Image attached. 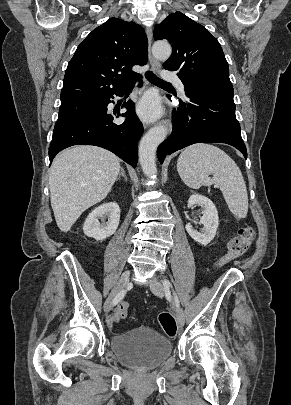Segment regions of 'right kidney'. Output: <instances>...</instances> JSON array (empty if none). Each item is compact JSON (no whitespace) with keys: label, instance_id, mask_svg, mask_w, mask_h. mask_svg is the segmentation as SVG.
Segmentation results:
<instances>
[{"label":"right kidney","instance_id":"1","mask_svg":"<svg viewBox=\"0 0 291 405\" xmlns=\"http://www.w3.org/2000/svg\"><path fill=\"white\" fill-rule=\"evenodd\" d=\"M108 217L106 224H100L99 218ZM120 208L117 203L109 202L96 207L86 218L83 231L88 237L104 240L113 235L119 225Z\"/></svg>","mask_w":291,"mask_h":405}]
</instances>
